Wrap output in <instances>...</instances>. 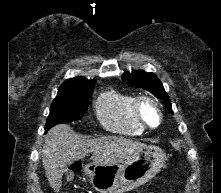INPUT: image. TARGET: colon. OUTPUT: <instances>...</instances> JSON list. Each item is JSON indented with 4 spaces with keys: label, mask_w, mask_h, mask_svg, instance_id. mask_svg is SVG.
<instances>
[{
    "label": "colon",
    "mask_w": 221,
    "mask_h": 193,
    "mask_svg": "<svg viewBox=\"0 0 221 193\" xmlns=\"http://www.w3.org/2000/svg\"><path fill=\"white\" fill-rule=\"evenodd\" d=\"M79 170H80V165H73V166L70 167V171L73 174L78 172Z\"/></svg>",
    "instance_id": "obj_1"
}]
</instances>
